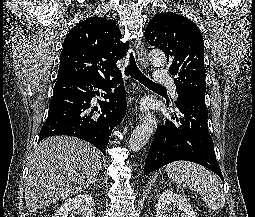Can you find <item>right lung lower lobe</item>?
Instances as JSON below:
<instances>
[{
  "mask_svg": "<svg viewBox=\"0 0 255 217\" xmlns=\"http://www.w3.org/2000/svg\"><path fill=\"white\" fill-rule=\"evenodd\" d=\"M118 83L121 85L116 87ZM111 88H115L114 93ZM99 89L106 92L104 98L109 102L99 100V106L92 108L90 102L100 96ZM126 107L120 75L105 80L56 81L39 141L49 136L69 135L88 141L105 154L111 132L125 116Z\"/></svg>",
  "mask_w": 255,
  "mask_h": 217,
  "instance_id": "right-lung-lower-lobe-1",
  "label": "right lung lower lobe"
}]
</instances>
